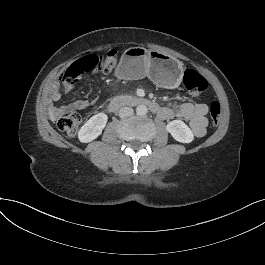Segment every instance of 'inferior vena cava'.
<instances>
[{
  "instance_id": "602c4592",
  "label": "inferior vena cava",
  "mask_w": 265,
  "mask_h": 265,
  "mask_svg": "<svg viewBox=\"0 0 265 265\" xmlns=\"http://www.w3.org/2000/svg\"><path fill=\"white\" fill-rule=\"evenodd\" d=\"M133 114V109L131 107H122L119 110V116L120 118H125L128 116H131Z\"/></svg>"
}]
</instances>
